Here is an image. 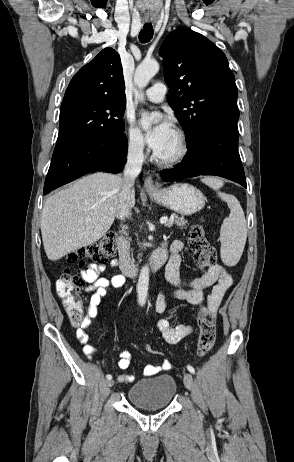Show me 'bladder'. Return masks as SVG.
Listing matches in <instances>:
<instances>
[{
  "label": "bladder",
  "mask_w": 294,
  "mask_h": 462,
  "mask_svg": "<svg viewBox=\"0 0 294 462\" xmlns=\"http://www.w3.org/2000/svg\"><path fill=\"white\" fill-rule=\"evenodd\" d=\"M177 384L170 374H161L135 383L127 392L128 401L143 409H161L170 405Z\"/></svg>",
  "instance_id": "bladder-1"
}]
</instances>
